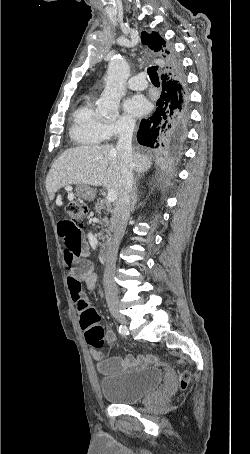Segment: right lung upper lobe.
Here are the masks:
<instances>
[{
    "mask_svg": "<svg viewBox=\"0 0 250 454\" xmlns=\"http://www.w3.org/2000/svg\"><path fill=\"white\" fill-rule=\"evenodd\" d=\"M141 39L143 44L148 45L158 55V58L163 61V71H169L172 67L168 58L169 53L167 52L168 46L166 45V41L157 32H152V34L142 32Z\"/></svg>",
    "mask_w": 250,
    "mask_h": 454,
    "instance_id": "cb5924a9",
    "label": "right lung upper lobe"
}]
</instances>
